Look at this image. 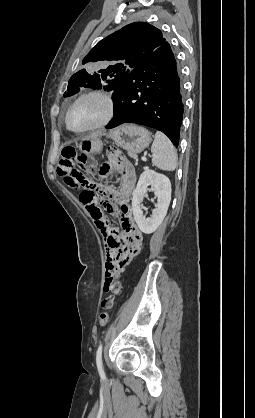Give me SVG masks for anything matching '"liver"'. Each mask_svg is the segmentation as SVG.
I'll list each match as a JSON object with an SVG mask.
<instances>
[{
    "label": "liver",
    "mask_w": 255,
    "mask_h": 418,
    "mask_svg": "<svg viewBox=\"0 0 255 418\" xmlns=\"http://www.w3.org/2000/svg\"><path fill=\"white\" fill-rule=\"evenodd\" d=\"M99 134H92L91 136L86 137L85 139L95 138L98 137Z\"/></svg>",
    "instance_id": "6515ba94"
}]
</instances>
